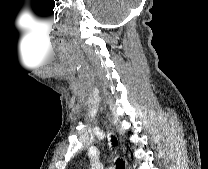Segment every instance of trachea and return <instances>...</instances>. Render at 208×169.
I'll use <instances>...</instances> for the list:
<instances>
[{"mask_svg":"<svg viewBox=\"0 0 208 169\" xmlns=\"http://www.w3.org/2000/svg\"><path fill=\"white\" fill-rule=\"evenodd\" d=\"M112 143H113V146L115 147V144H116V138H114L113 136H112ZM125 168V166H124V162H123V160L122 159H117L116 160V169H124Z\"/></svg>","mask_w":208,"mask_h":169,"instance_id":"3493384b","label":"trachea"}]
</instances>
